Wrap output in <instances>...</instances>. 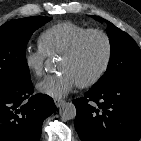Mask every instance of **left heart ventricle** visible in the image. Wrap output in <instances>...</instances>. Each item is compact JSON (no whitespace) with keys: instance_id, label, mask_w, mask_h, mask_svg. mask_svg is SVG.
<instances>
[{"instance_id":"1","label":"left heart ventricle","mask_w":141,"mask_h":141,"mask_svg":"<svg viewBox=\"0 0 141 141\" xmlns=\"http://www.w3.org/2000/svg\"><path fill=\"white\" fill-rule=\"evenodd\" d=\"M106 54V44L99 35L89 36L78 52L70 57H60L58 70H66L78 82L93 76L103 63Z\"/></svg>"}]
</instances>
